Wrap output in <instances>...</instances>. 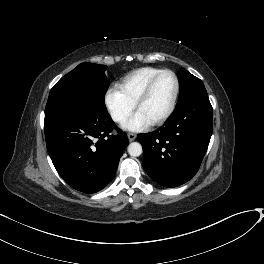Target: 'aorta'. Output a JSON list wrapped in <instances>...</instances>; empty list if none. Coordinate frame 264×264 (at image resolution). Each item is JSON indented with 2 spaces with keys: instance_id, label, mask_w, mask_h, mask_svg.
Masks as SVG:
<instances>
[{
  "instance_id": "aorta-1",
  "label": "aorta",
  "mask_w": 264,
  "mask_h": 264,
  "mask_svg": "<svg viewBox=\"0 0 264 264\" xmlns=\"http://www.w3.org/2000/svg\"><path fill=\"white\" fill-rule=\"evenodd\" d=\"M128 153L132 157H138L142 154V146L138 142H132L128 146Z\"/></svg>"
}]
</instances>
